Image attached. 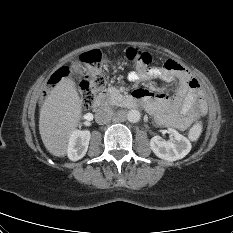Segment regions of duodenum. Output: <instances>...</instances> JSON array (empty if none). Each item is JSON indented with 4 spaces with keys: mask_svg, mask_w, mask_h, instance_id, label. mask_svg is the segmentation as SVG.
<instances>
[{
    "mask_svg": "<svg viewBox=\"0 0 233 233\" xmlns=\"http://www.w3.org/2000/svg\"><path fill=\"white\" fill-rule=\"evenodd\" d=\"M110 98L111 95L107 92L100 94L94 102L95 108H101L110 100ZM122 104L128 108H134L137 105V98L135 96L124 97L122 99Z\"/></svg>",
    "mask_w": 233,
    "mask_h": 233,
    "instance_id": "1",
    "label": "duodenum"
}]
</instances>
